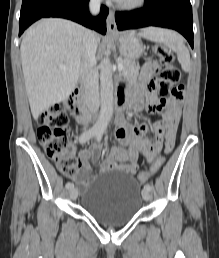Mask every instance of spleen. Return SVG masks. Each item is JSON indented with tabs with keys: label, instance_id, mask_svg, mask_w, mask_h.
Masks as SVG:
<instances>
[{
	"label": "spleen",
	"instance_id": "3e777b00",
	"mask_svg": "<svg viewBox=\"0 0 219 258\" xmlns=\"http://www.w3.org/2000/svg\"><path fill=\"white\" fill-rule=\"evenodd\" d=\"M139 36L153 42L163 43L165 46L177 53L184 71H188L190 69V54L183 43L182 37L178 33L169 29L148 27L142 29L139 32Z\"/></svg>",
	"mask_w": 219,
	"mask_h": 258
}]
</instances>
